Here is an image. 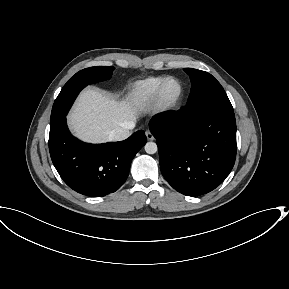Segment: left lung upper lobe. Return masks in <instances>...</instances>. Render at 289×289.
<instances>
[{
    "label": "left lung upper lobe",
    "mask_w": 289,
    "mask_h": 289,
    "mask_svg": "<svg viewBox=\"0 0 289 289\" xmlns=\"http://www.w3.org/2000/svg\"><path fill=\"white\" fill-rule=\"evenodd\" d=\"M190 76L191 92L186 106L194 104H217L232 108L220 83L209 73L192 68H184Z\"/></svg>",
    "instance_id": "1"
}]
</instances>
